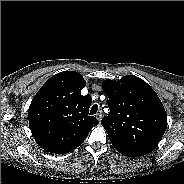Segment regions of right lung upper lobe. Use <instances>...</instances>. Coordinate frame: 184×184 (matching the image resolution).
<instances>
[{
    "instance_id": "obj_1",
    "label": "right lung upper lobe",
    "mask_w": 184,
    "mask_h": 184,
    "mask_svg": "<svg viewBox=\"0 0 184 184\" xmlns=\"http://www.w3.org/2000/svg\"><path fill=\"white\" fill-rule=\"evenodd\" d=\"M85 83L76 71L60 72L48 79L32 99L29 126L44 150L66 154L76 149L98 125L95 117L88 116L91 97L81 95Z\"/></svg>"
}]
</instances>
